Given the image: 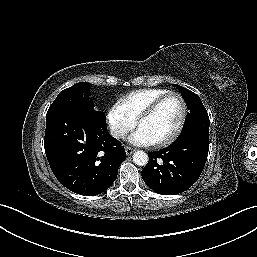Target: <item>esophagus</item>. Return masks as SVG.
<instances>
[{
    "label": "esophagus",
    "mask_w": 257,
    "mask_h": 257,
    "mask_svg": "<svg viewBox=\"0 0 257 257\" xmlns=\"http://www.w3.org/2000/svg\"><path fill=\"white\" fill-rule=\"evenodd\" d=\"M125 152L127 155H131L134 152V149L131 147H125Z\"/></svg>",
    "instance_id": "obj_1"
}]
</instances>
